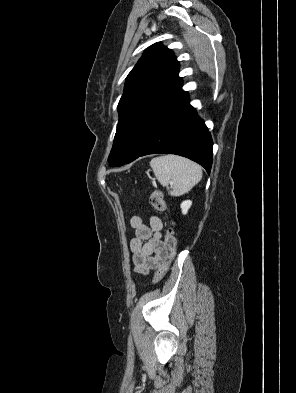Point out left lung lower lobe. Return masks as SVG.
<instances>
[{"instance_id": "left-lung-lower-lobe-1", "label": "left lung lower lobe", "mask_w": 296, "mask_h": 393, "mask_svg": "<svg viewBox=\"0 0 296 393\" xmlns=\"http://www.w3.org/2000/svg\"><path fill=\"white\" fill-rule=\"evenodd\" d=\"M163 153L187 157L210 173L212 138L184 91L150 124L125 164L140 156Z\"/></svg>"}]
</instances>
